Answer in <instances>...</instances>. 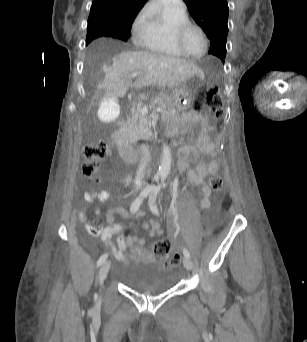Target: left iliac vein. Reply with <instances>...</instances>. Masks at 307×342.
I'll list each match as a JSON object with an SVG mask.
<instances>
[{"instance_id": "obj_1", "label": "left iliac vein", "mask_w": 307, "mask_h": 342, "mask_svg": "<svg viewBox=\"0 0 307 342\" xmlns=\"http://www.w3.org/2000/svg\"><path fill=\"white\" fill-rule=\"evenodd\" d=\"M183 265L187 270H191L193 267L192 261L188 257H183Z\"/></svg>"}]
</instances>
